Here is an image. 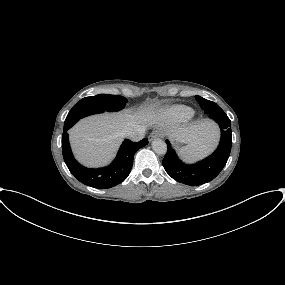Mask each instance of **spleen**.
<instances>
[{"label": "spleen", "mask_w": 285, "mask_h": 285, "mask_svg": "<svg viewBox=\"0 0 285 285\" xmlns=\"http://www.w3.org/2000/svg\"><path fill=\"white\" fill-rule=\"evenodd\" d=\"M217 137V132H216ZM216 137L209 143L201 145H187L180 149V155L187 161H194L207 155L216 144Z\"/></svg>", "instance_id": "3e777b00"}]
</instances>
